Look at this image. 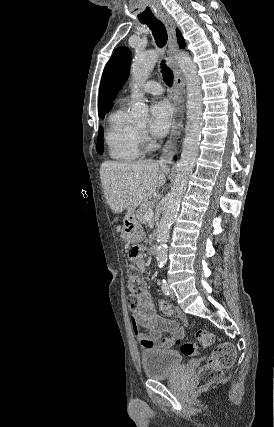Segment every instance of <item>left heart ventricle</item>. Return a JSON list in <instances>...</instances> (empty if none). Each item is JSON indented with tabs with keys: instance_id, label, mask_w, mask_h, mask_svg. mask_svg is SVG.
I'll return each instance as SVG.
<instances>
[{
	"instance_id": "1",
	"label": "left heart ventricle",
	"mask_w": 274,
	"mask_h": 427,
	"mask_svg": "<svg viewBox=\"0 0 274 427\" xmlns=\"http://www.w3.org/2000/svg\"><path fill=\"white\" fill-rule=\"evenodd\" d=\"M139 127H140L141 129L145 130V129H146V127H147V123L141 124V125H139Z\"/></svg>"
}]
</instances>
